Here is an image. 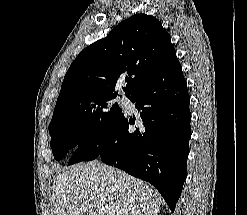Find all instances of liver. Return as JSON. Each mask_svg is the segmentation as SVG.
Instances as JSON below:
<instances>
[{"label": "liver", "mask_w": 247, "mask_h": 215, "mask_svg": "<svg viewBox=\"0 0 247 215\" xmlns=\"http://www.w3.org/2000/svg\"><path fill=\"white\" fill-rule=\"evenodd\" d=\"M162 199L147 183L98 161L58 173L52 215H158Z\"/></svg>", "instance_id": "1"}]
</instances>
